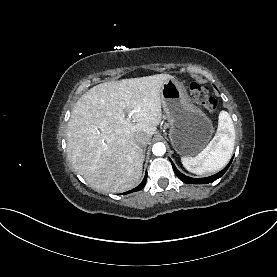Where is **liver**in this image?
<instances>
[{
	"label": "liver",
	"mask_w": 277,
	"mask_h": 277,
	"mask_svg": "<svg viewBox=\"0 0 277 277\" xmlns=\"http://www.w3.org/2000/svg\"><path fill=\"white\" fill-rule=\"evenodd\" d=\"M172 78L157 74L101 83L78 99L68 122L67 154L92 188L119 193L138 184L144 156L135 136L150 139L155 133L162 118L161 88Z\"/></svg>",
	"instance_id": "6515ba94"
}]
</instances>
